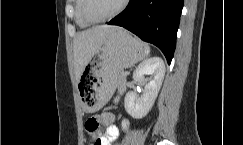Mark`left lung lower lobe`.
<instances>
[{"label": "left lung lower lobe", "mask_w": 243, "mask_h": 145, "mask_svg": "<svg viewBox=\"0 0 243 145\" xmlns=\"http://www.w3.org/2000/svg\"><path fill=\"white\" fill-rule=\"evenodd\" d=\"M182 8L183 0H130L108 24L122 26L156 45L170 64Z\"/></svg>", "instance_id": "0a47b994"}]
</instances>
